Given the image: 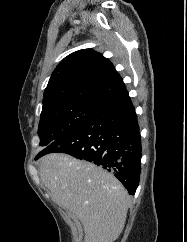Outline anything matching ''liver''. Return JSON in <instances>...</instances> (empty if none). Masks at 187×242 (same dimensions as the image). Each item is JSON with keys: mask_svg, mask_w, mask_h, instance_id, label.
<instances>
[{"mask_svg": "<svg viewBox=\"0 0 187 242\" xmlns=\"http://www.w3.org/2000/svg\"><path fill=\"white\" fill-rule=\"evenodd\" d=\"M39 171L52 198L83 224L84 242H113L119 237L129 195L111 173L66 154L43 157Z\"/></svg>", "mask_w": 187, "mask_h": 242, "instance_id": "1", "label": "liver"}]
</instances>
